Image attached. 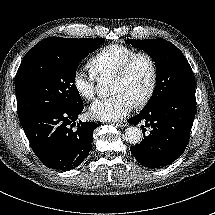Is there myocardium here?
Here are the masks:
<instances>
[{"instance_id":"f54148a6","label":"myocardium","mask_w":215,"mask_h":215,"mask_svg":"<svg viewBox=\"0 0 215 215\" xmlns=\"http://www.w3.org/2000/svg\"><path fill=\"white\" fill-rule=\"evenodd\" d=\"M138 58H143L144 60H146L150 69V79H149L148 88L145 94L143 95V97L139 101L134 103V106L136 108L141 109L149 103V101L153 97L156 90L157 81H158V70H157V65L154 58L145 51H135L131 53L128 57H126L119 64V66L113 73V77L123 78L124 76H126L133 62Z\"/></svg>"}]
</instances>
